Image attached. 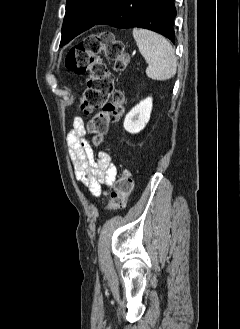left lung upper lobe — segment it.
<instances>
[{
	"instance_id": "obj_1",
	"label": "left lung upper lobe",
	"mask_w": 240,
	"mask_h": 329,
	"mask_svg": "<svg viewBox=\"0 0 240 329\" xmlns=\"http://www.w3.org/2000/svg\"><path fill=\"white\" fill-rule=\"evenodd\" d=\"M119 0H67L60 45H65L101 20Z\"/></svg>"
}]
</instances>
